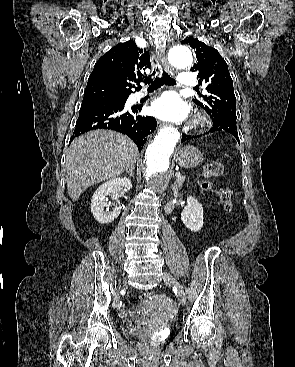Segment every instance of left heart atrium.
<instances>
[{
  "instance_id": "left-heart-atrium-1",
  "label": "left heart atrium",
  "mask_w": 295,
  "mask_h": 367,
  "mask_svg": "<svg viewBox=\"0 0 295 367\" xmlns=\"http://www.w3.org/2000/svg\"><path fill=\"white\" fill-rule=\"evenodd\" d=\"M151 113L157 118L171 122L183 121L189 108L176 92H167L151 105Z\"/></svg>"
}]
</instances>
